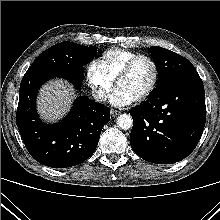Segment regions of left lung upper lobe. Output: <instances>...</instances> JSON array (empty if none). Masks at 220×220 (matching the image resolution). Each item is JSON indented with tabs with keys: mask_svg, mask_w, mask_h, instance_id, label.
Here are the masks:
<instances>
[{
	"mask_svg": "<svg viewBox=\"0 0 220 220\" xmlns=\"http://www.w3.org/2000/svg\"><path fill=\"white\" fill-rule=\"evenodd\" d=\"M149 52L158 71L157 87H161L178 73L195 69L183 56L162 47H150Z\"/></svg>",
	"mask_w": 220,
	"mask_h": 220,
	"instance_id": "5c2ea615",
	"label": "left lung upper lobe"
}]
</instances>
